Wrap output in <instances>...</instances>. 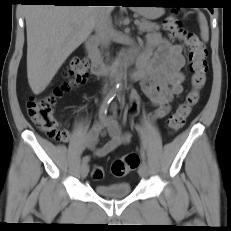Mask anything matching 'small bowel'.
<instances>
[{"label":"small bowel","instance_id":"small-bowel-1","mask_svg":"<svg viewBox=\"0 0 231 231\" xmlns=\"http://www.w3.org/2000/svg\"><path fill=\"white\" fill-rule=\"evenodd\" d=\"M184 65L181 45L171 43L159 33L147 36L138 69L132 75V79L140 83L143 93L156 107V118L167 116L171 112L175 97L182 94L184 74L181 70ZM130 98L129 114L134 116L139 107V95L135 89L130 90ZM103 135H108L109 141L97 146L99 138ZM130 140L131 134L122 131L115 119L105 117L104 120L95 122L81 141V146L91 150L96 158H102L120 145L128 144Z\"/></svg>","mask_w":231,"mask_h":231}]
</instances>
